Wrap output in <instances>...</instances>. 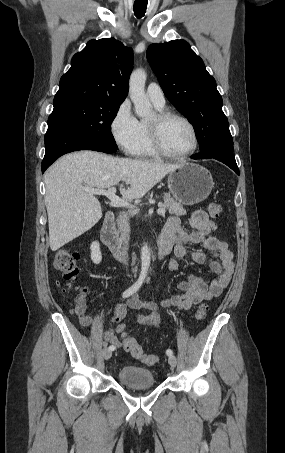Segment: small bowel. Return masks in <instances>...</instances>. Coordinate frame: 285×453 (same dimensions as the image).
<instances>
[{
  "instance_id": "c3829d8e",
  "label": "small bowel",
  "mask_w": 285,
  "mask_h": 453,
  "mask_svg": "<svg viewBox=\"0 0 285 453\" xmlns=\"http://www.w3.org/2000/svg\"><path fill=\"white\" fill-rule=\"evenodd\" d=\"M190 226L194 229L192 232H186L178 217L172 216L168 219L161 237L175 244V257L169 263V269L175 271L179 268L180 261L190 258L197 264H204L207 260V254L202 251H189L188 245L201 244L208 252L212 254L209 259V266L216 274V277L208 281L190 275L177 284L180 294L171 296L160 303L154 300L141 301L137 295L129 298L125 303H119L112 308V318L110 327L103 332V338L115 348H120L122 343L117 334H124L126 324L123 322L129 309L140 310L146 308L151 310V314L145 315L137 313L136 322L141 326H158L161 320L159 307H176L178 309H190L203 301L210 300L219 296L228 286L234 270L233 253L228 244L221 241L212 233L216 230V223L209 219L203 210L195 211L190 220ZM86 304L84 298L76 300L74 313L77 315L80 324L88 327L93 323L91 317L85 314Z\"/></svg>"
}]
</instances>
